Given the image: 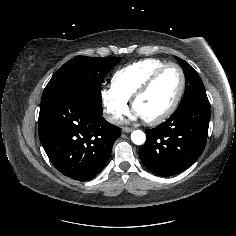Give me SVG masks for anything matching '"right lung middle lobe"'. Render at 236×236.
Listing matches in <instances>:
<instances>
[{
  "mask_svg": "<svg viewBox=\"0 0 236 236\" xmlns=\"http://www.w3.org/2000/svg\"><path fill=\"white\" fill-rule=\"evenodd\" d=\"M120 58L76 56L61 66L45 87L41 102L64 93L77 94L102 106L101 84Z\"/></svg>",
  "mask_w": 236,
  "mask_h": 236,
  "instance_id": "1",
  "label": "right lung middle lobe"
}]
</instances>
